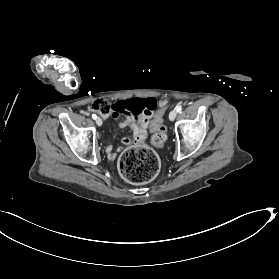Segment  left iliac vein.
Instances as JSON below:
<instances>
[{
	"instance_id": "1",
	"label": "left iliac vein",
	"mask_w": 279,
	"mask_h": 279,
	"mask_svg": "<svg viewBox=\"0 0 279 279\" xmlns=\"http://www.w3.org/2000/svg\"><path fill=\"white\" fill-rule=\"evenodd\" d=\"M176 116H177V111H176V110H172V111L169 113V120H170V121L175 120Z\"/></svg>"
}]
</instances>
